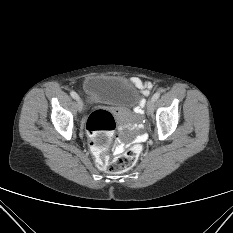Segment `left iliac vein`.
I'll use <instances>...</instances> for the list:
<instances>
[{
    "instance_id": "left-iliac-vein-1",
    "label": "left iliac vein",
    "mask_w": 233,
    "mask_h": 233,
    "mask_svg": "<svg viewBox=\"0 0 233 233\" xmlns=\"http://www.w3.org/2000/svg\"><path fill=\"white\" fill-rule=\"evenodd\" d=\"M154 100L150 98L146 104V110L149 115L153 112Z\"/></svg>"
}]
</instances>
